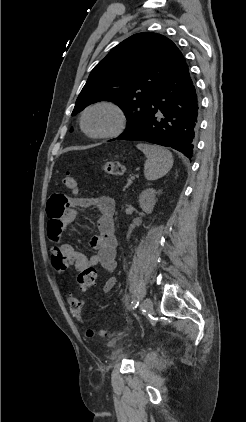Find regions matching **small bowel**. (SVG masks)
Instances as JSON below:
<instances>
[{
    "mask_svg": "<svg viewBox=\"0 0 246 422\" xmlns=\"http://www.w3.org/2000/svg\"><path fill=\"white\" fill-rule=\"evenodd\" d=\"M91 207L96 208L100 213L97 220L99 232L90 242L96 253L86 256L69 243H60L55 248L62 252L68 263L74 265L78 272L87 267L100 265L106 272L112 274L117 268V240L114 222L115 202L110 197H67L60 193L52 195L47 208L48 236L51 241L59 242L62 234L78 217L80 211ZM115 284L116 278L110 275L103 283V291L110 292Z\"/></svg>",
    "mask_w": 246,
    "mask_h": 422,
    "instance_id": "1",
    "label": "small bowel"
}]
</instances>
